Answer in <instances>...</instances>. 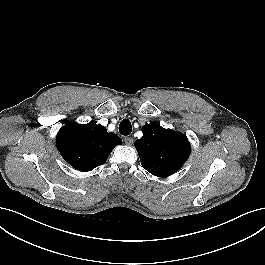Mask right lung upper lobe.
<instances>
[{"label":"right lung upper lobe","instance_id":"cb5924a9","mask_svg":"<svg viewBox=\"0 0 265 265\" xmlns=\"http://www.w3.org/2000/svg\"><path fill=\"white\" fill-rule=\"evenodd\" d=\"M121 138L95 122L63 126L56 137L62 157L79 171L87 172L105 163Z\"/></svg>","mask_w":265,"mask_h":265}]
</instances>
